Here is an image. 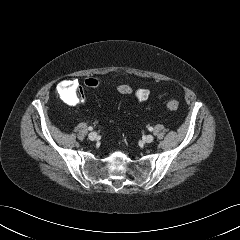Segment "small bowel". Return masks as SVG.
I'll return each instance as SVG.
<instances>
[{
	"mask_svg": "<svg viewBox=\"0 0 240 240\" xmlns=\"http://www.w3.org/2000/svg\"><path fill=\"white\" fill-rule=\"evenodd\" d=\"M74 83H75V85H76V90L75 91H68V92H66L65 93V95L69 98V99H71V100H76V101H81V102H83L84 101V94H83V92H82V90H81V95H80V97H77V94H76V92H77V90H78V84H77V82H75L74 81Z\"/></svg>",
	"mask_w": 240,
	"mask_h": 240,
	"instance_id": "c3829d8e",
	"label": "small bowel"
}]
</instances>
